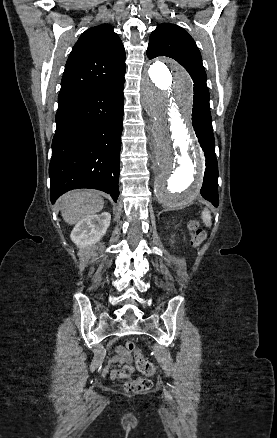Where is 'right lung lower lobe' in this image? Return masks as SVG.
Segmentation results:
<instances>
[{
    "label": "right lung lower lobe",
    "mask_w": 277,
    "mask_h": 438,
    "mask_svg": "<svg viewBox=\"0 0 277 438\" xmlns=\"http://www.w3.org/2000/svg\"><path fill=\"white\" fill-rule=\"evenodd\" d=\"M124 74L58 103L49 166L52 203L76 188L102 190L117 201Z\"/></svg>",
    "instance_id": "obj_1"
}]
</instances>
